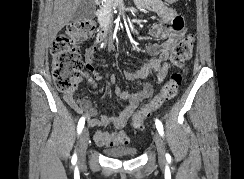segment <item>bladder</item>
Returning <instances> with one entry per match:
<instances>
[{"mask_svg":"<svg viewBox=\"0 0 244 179\" xmlns=\"http://www.w3.org/2000/svg\"><path fill=\"white\" fill-rule=\"evenodd\" d=\"M103 152L106 156L117 158H130L134 157L137 153L135 148H122V149H110L103 148Z\"/></svg>","mask_w":244,"mask_h":179,"instance_id":"obj_1","label":"bladder"}]
</instances>
